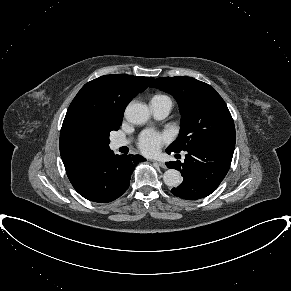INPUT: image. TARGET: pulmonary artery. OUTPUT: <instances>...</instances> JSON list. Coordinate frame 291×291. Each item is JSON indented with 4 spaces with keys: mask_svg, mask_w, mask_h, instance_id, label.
Here are the masks:
<instances>
[{
    "mask_svg": "<svg viewBox=\"0 0 291 291\" xmlns=\"http://www.w3.org/2000/svg\"><path fill=\"white\" fill-rule=\"evenodd\" d=\"M150 108L156 118L163 119L170 113L172 109V102L168 97H153L150 101ZM128 143V140L115 139L112 142V147L114 149H118Z\"/></svg>",
    "mask_w": 291,
    "mask_h": 291,
    "instance_id": "obj_1",
    "label": "pulmonary artery"
}]
</instances>
